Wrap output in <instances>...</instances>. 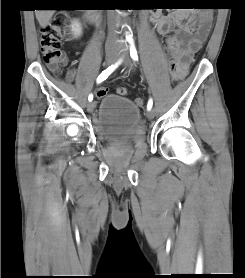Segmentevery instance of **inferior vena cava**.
I'll list each match as a JSON object with an SVG mask.
<instances>
[{
  "instance_id": "602c4592",
  "label": "inferior vena cava",
  "mask_w": 245,
  "mask_h": 278,
  "mask_svg": "<svg viewBox=\"0 0 245 278\" xmlns=\"http://www.w3.org/2000/svg\"><path fill=\"white\" fill-rule=\"evenodd\" d=\"M116 40H117L116 25L113 21H110L107 41L109 43H112V42H115Z\"/></svg>"
}]
</instances>
